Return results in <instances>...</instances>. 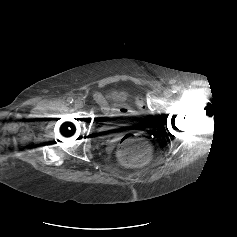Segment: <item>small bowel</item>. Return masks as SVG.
Wrapping results in <instances>:
<instances>
[{
    "instance_id": "1",
    "label": "small bowel",
    "mask_w": 237,
    "mask_h": 237,
    "mask_svg": "<svg viewBox=\"0 0 237 237\" xmlns=\"http://www.w3.org/2000/svg\"><path fill=\"white\" fill-rule=\"evenodd\" d=\"M94 98L100 105L103 114L108 118L122 117L132 113L127 106L122 104L125 99L124 93L115 92L111 95L104 96L98 92H95ZM110 101H114L115 104L111 106ZM137 106L142 108V101L140 99L137 100Z\"/></svg>"
}]
</instances>
